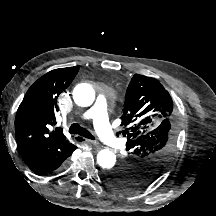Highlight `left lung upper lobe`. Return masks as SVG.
<instances>
[{
    "label": "left lung upper lobe",
    "mask_w": 216,
    "mask_h": 216,
    "mask_svg": "<svg viewBox=\"0 0 216 216\" xmlns=\"http://www.w3.org/2000/svg\"><path fill=\"white\" fill-rule=\"evenodd\" d=\"M122 125L126 127V155L105 173V182L118 191L134 192L161 175L179 134L172 98L158 80L133 76L125 95Z\"/></svg>",
    "instance_id": "obj_1"
}]
</instances>
